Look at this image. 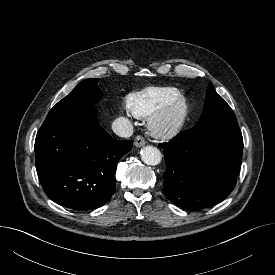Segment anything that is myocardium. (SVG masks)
Wrapping results in <instances>:
<instances>
[{"mask_svg": "<svg viewBox=\"0 0 275 275\" xmlns=\"http://www.w3.org/2000/svg\"><path fill=\"white\" fill-rule=\"evenodd\" d=\"M189 114L190 102L180 95L151 115L149 129L159 138L174 136L184 128Z\"/></svg>", "mask_w": 275, "mask_h": 275, "instance_id": "obj_1", "label": "myocardium"}]
</instances>
